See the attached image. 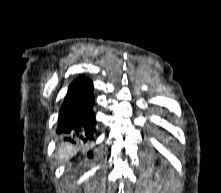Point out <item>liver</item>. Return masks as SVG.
I'll return each instance as SVG.
<instances>
[{"label": "liver", "instance_id": "liver-1", "mask_svg": "<svg viewBox=\"0 0 221 193\" xmlns=\"http://www.w3.org/2000/svg\"><path fill=\"white\" fill-rule=\"evenodd\" d=\"M78 148L68 144V143H61L57 148V160L59 163L67 162L70 158L76 154Z\"/></svg>", "mask_w": 221, "mask_h": 193}]
</instances>
